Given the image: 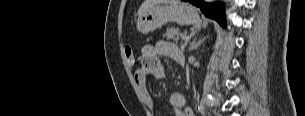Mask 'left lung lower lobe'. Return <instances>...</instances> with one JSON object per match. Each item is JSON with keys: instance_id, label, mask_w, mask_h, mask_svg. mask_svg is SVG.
<instances>
[{"instance_id": "left-lung-lower-lobe-1", "label": "left lung lower lobe", "mask_w": 305, "mask_h": 116, "mask_svg": "<svg viewBox=\"0 0 305 116\" xmlns=\"http://www.w3.org/2000/svg\"><path fill=\"white\" fill-rule=\"evenodd\" d=\"M187 2L192 3L193 5L200 7L201 11L205 16L215 19L222 25L225 26V14L224 7L220 3L208 4L205 2H201L200 0H187Z\"/></svg>"}]
</instances>
